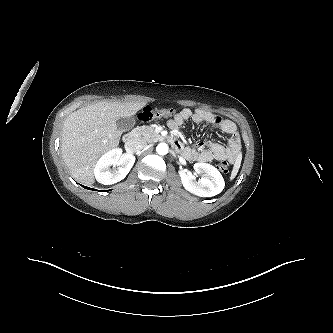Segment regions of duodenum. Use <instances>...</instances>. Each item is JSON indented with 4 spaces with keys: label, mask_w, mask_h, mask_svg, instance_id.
Masks as SVG:
<instances>
[{
    "label": "duodenum",
    "mask_w": 333,
    "mask_h": 333,
    "mask_svg": "<svg viewBox=\"0 0 333 333\" xmlns=\"http://www.w3.org/2000/svg\"><path fill=\"white\" fill-rule=\"evenodd\" d=\"M137 138H138V133L135 130L125 134L124 142H125V146H126L127 150L134 149L136 142H137ZM169 141L176 148H180L182 145V143L179 140H177L176 138H173V137H170Z\"/></svg>",
    "instance_id": "duodenum-1"
}]
</instances>
